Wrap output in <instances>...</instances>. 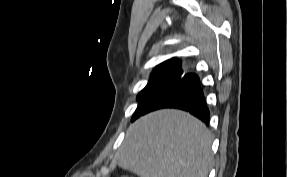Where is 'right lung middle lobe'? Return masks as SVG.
I'll use <instances>...</instances> for the list:
<instances>
[{
    "mask_svg": "<svg viewBox=\"0 0 287 177\" xmlns=\"http://www.w3.org/2000/svg\"><path fill=\"white\" fill-rule=\"evenodd\" d=\"M181 67V62L180 61H167L163 62L160 65L156 66L155 69L153 70L150 79L148 81V84L146 87L138 94L137 100H140L141 97L145 94V92L156 82L158 81L161 77L164 75L178 69ZM133 118V117H132Z\"/></svg>",
    "mask_w": 287,
    "mask_h": 177,
    "instance_id": "dd1d6c3e",
    "label": "right lung middle lobe"
}]
</instances>
